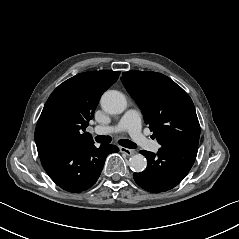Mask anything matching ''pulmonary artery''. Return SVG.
Here are the masks:
<instances>
[{"label":"pulmonary artery","instance_id":"obj_1","mask_svg":"<svg viewBox=\"0 0 239 239\" xmlns=\"http://www.w3.org/2000/svg\"><path fill=\"white\" fill-rule=\"evenodd\" d=\"M97 135H108L117 132H128L130 136L138 143H145L146 139L141 133L140 114L136 109H129L122 116L117 126H103L97 125L91 129ZM159 145L156 143L153 151H157Z\"/></svg>","mask_w":239,"mask_h":239}]
</instances>
